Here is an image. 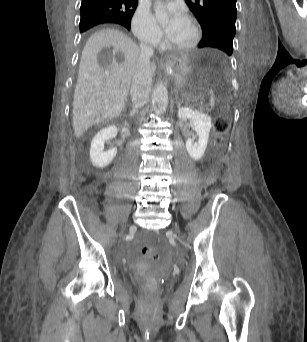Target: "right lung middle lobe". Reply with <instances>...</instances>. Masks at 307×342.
<instances>
[{"mask_svg": "<svg viewBox=\"0 0 307 342\" xmlns=\"http://www.w3.org/2000/svg\"><path fill=\"white\" fill-rule=\"evenodd\" d=\"M119 15L109 10H81L80 32L103 23L114 22Z\"/></svg>", "mask_w": 307, "mask_h": 342, "instance_id": "1", "label": "right lung middle lobe"}]
</instances>
